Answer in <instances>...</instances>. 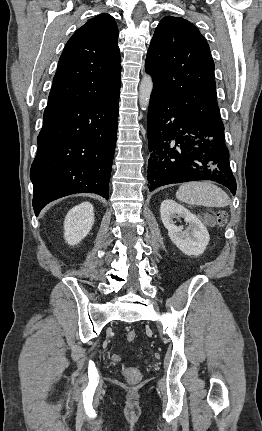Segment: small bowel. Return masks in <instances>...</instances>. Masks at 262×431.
<instances>
[{
    "label": "small bowel",
    "mask_w": 262,
    "mask_h": 431,
    "mask_svg": "<svg viewBox=\"0 0 262 431\" xmlns=\"http://www.w3.org/2000/svg\"><path fill=\"white\" fill-rule=\"evenodd\" d=\"M113 359H114L115 361H117V360H118V356L114 355V356H113Z\"/></svg>",
    "instance_id": "1"
}]
</instances>
